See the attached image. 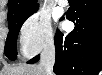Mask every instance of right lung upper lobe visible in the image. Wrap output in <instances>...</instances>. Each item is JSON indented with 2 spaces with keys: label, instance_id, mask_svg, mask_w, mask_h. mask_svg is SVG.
I'll return each instance as SVG.
<instances>
[{
  "label": "right lung upper lobe",
  "instance_id": "1",
  "mask_svg": "<svg viewBox=\"0 0 102 75\" xmlns=\"http://www.w3.org/2000/svg\"><path fill=\"white\" fill-rule=\"evenodd\" d=\"M36 9L37 0H8V16Z\"/></svg>",
  "mask_w": 102,
  "mask_h": 75
}]
</instances>
